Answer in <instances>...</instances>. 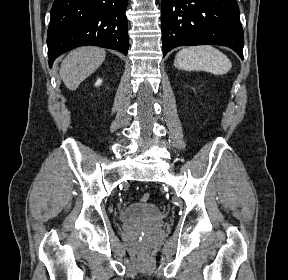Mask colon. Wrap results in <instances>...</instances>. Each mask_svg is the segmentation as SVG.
I'll return each instance as SVG.
<instances>
[{"label":"colon","mask_w":288,"mask_h":280,"mask_svg":"<svg viewBox=\"0 0 288 280\" xmlns=\"http://www.w3.org/2000/svg\"><path fill=\"white\" fill-rule=\"evenodd\" d=\"M141 200H142V202H144V203L150 202V200H151V194H150V193H145V194H143Z\"/></svg>","instance_id":"obj_1"}]
</instances>
